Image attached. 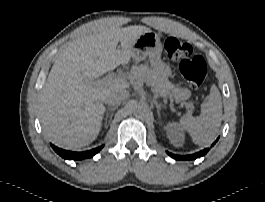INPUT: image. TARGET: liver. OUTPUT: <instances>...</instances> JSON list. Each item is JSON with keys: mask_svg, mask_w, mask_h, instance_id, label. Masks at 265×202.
<instances>
[{"mask_svg": "<svg viewBox=\"0 0 265 202\" xmlns=\"http://www.w3.org/2000/svg\"><path fill=\"white\" fill-rule=\"evenodd\" d=\"M148 31L151 30L145 26L120 28L97 20L59 53L39 95L42 129L49 141L75 150L97 138L106 95L114 89L126 90L129 84L92 83L119 65H127L133 57V44Z\"/></svg>", "mask_w": 265, "mask_h": 202, "instance_id": "obj_1", "label": "liver"}]
</instances>
